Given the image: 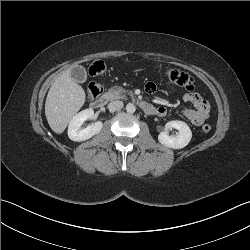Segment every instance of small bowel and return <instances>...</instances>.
<instances>
[{
  "mask_svg": "<svg viewBox=\"0 0 250 250\" xmlns=\"http://www.w3.org/2000/svg\"><path fill=\"white\" fill-rule=\"evenodd\" d=\"M145 89L148 93H153L156 90L154 83L149 82L145 85ZM183 100L185 102L191 103L194 109H182V115L188 119L193 125L199 126L208 118L210 112L209 103L203 99L196 92H188L183 95ZM157 109L156 115L163 117L167 113V109L164 106H160Z\"/></svg>",
  "mask_w": 250,
  "mask_h": 250,
  "instance_id": "c3829d8e",
  "label": "small bowel"
}]
</instances>
